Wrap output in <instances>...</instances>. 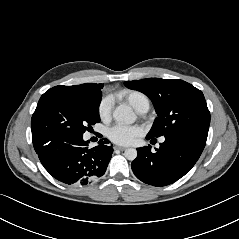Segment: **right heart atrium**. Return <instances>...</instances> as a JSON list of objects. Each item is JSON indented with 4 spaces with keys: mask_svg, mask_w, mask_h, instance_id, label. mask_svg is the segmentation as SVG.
<instances>
[{
    "mask_svg": "<svg viewBox=\"0 0 239 239\" xmlns=\"http://www.w3.org/2000/svg\"><path fill=\"white\" fill-rule=\"evenodd\" d=\"M112 110V100L109 97H105L101 100L98 107V115L101 120L107 121L110 119Z\"/></svg>",
    "mask_w": 239,
    "mask_h": 239,
    "instance_id": "right-heart-atrium-1",
    "label": "right heart atrium"
}]
</instances>
